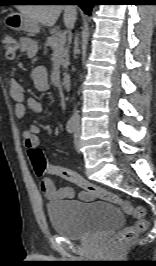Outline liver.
<instances>
[{"instance_id": "liver-1", "label": "liver", "mask_w": 156, "mask_h": 266, "mask_svg": "<svg viewBox=\"0 0 156 266\" xmlns=\"http://www.w3.org/2000/svg\"><path fill=\"white\" fill-rule=\"evenodd\" d=\"M18 10L29 17L33 22L52 27L64 10V23L72 28L76 20V7L73 5H22Z\"/></svg>"}]
</instances>
